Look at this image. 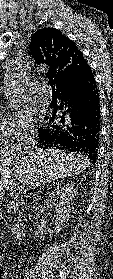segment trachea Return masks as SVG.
<instances>
[{"label":"trachea","instance_id":"3493384b","mask_svg":"<svg viewBox=\"0 0 113 279\" xmlns=\"http://www.w3.org/2000/svg\"><path fill=\"white\" fill-rule=\"evenodd\" d=\"M49 84L52 87V89H55V87H54V80L52 78L49 79Z\"/></svg>","mask_w":113,"mask_h":279}]
</instances>
